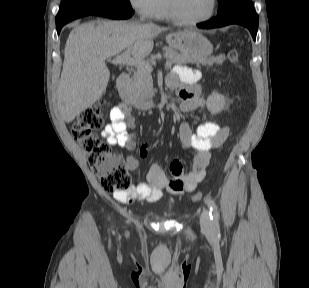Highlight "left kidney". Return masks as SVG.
<instances>
[{
	"label": "left kidney",
	"instance_id": "obj_1",
	"mask_svg": "<svg viewBox=\"0 0 309 288\" xmlns=\"http://www.w3.org/2000/svg\"><path fill=\"white\" fill-rule=\"evenodd\" d=\"M206 104L211 113H218L225 107V98L221 94L212 93L207 98Z\"/></svg>",
	"mask_w": 309,
	"mask_h": 288
}]
</instances>
